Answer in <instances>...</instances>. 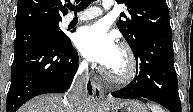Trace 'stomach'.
Instances as JSON below:
<instances>
[{
  "label": "stomach",
  "mask_w": 193,
  "mask_h": 112,
  "mask_svg": "<svg viewBox=\"0 0 193 112\" xmlns=\"http://www.w3.org/2000/svg\"><path fill=\"white\" fill-rule=\"evenodd\" d=\"M110 109L111 112H148L147 108L136 100L113 102Z\"/></svg>",
  "instance_id": "obj_1"
}]
</instances>
